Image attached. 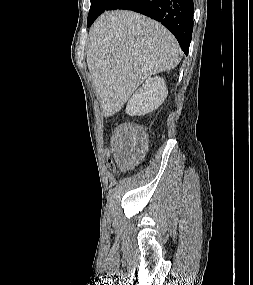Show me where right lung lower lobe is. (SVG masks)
Here are the masks:
<instances>
[{
    "mask_svg": "<svg viewBox=\"0 0 253 285\" xmlns=\"http://www.w3.org/2000/svg\"><path fill=\"white\" fill-rule=\"evenodd\" d=\"M112 9L136 11L161 22L176 37L183 52L188 54L193 31V0H113L106 10Z\"/></svg>",
    "mask_w": 253,
    "mask_h": 285,
    "instance_id": "right-lung-lower-lobe-1",
    "label": "right lung lower lobe"
}]
</instances>
